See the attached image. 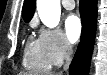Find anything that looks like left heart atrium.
<instances>
[{"instance_id":"left-heart-atrium-1","label":"left heart atrium","mask_w":107,"mask_h":75,"mask_svg":"<svg viewBox=\"0 0 107 75\" xmlns=\"http://www.w3.org/2000/svg\"><path fill=\"white\" fill-rule=\"evenodd\" d=\"M66 34L70 42L75 43L81 36L82 23L78 16L71 15L65 22Z\"/></svg>"}]
</instances>
